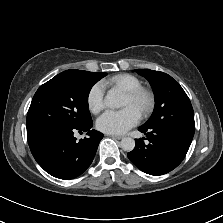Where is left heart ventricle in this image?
I'll list each match as a JSON object with an SVG mask.
<instances>
[{
  "label": "left heart ventricle",
  "instance_id": "left-heart-ventricle-1",
  "mask_svg": "<svg viewBox=\"0 0 223 223\" xmlns=\"http://www.w3.org/2000/svg\"><path fill=\"white\" fill-rule=\"evenodd\" d=\"M128 105H133V106H135V107L137 108L138 111L140 110V106H141L140 103L133 102V101H131V100L126 96L125 99H124V104H123V106H128Z\"/></svg>",
  "mask_w": 223,
  "mask_h": 223
}]
</instances>
